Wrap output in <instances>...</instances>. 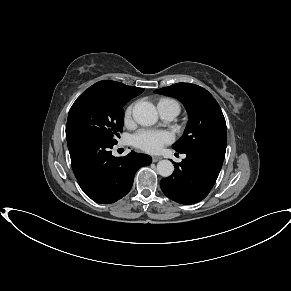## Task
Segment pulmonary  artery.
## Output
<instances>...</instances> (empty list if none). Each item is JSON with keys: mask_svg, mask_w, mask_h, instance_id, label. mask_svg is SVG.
Segmentation results:
<instances>
[{"mask_svg": "<svg viewBox=\"0 0 291 291\" xmlns=\"http://www.w3.org/2000/svg\"><path fill=\"white\" fill-rule=\"evenodd\" d=\"M161 117L167 121L173 120L177 115L178 111L172 104H164L158 107Z\"/></svg>", "mask_w": 291, "mask_h": 291, "instance_id": "1", "label": "pulmonary artery"}]
</instances>
